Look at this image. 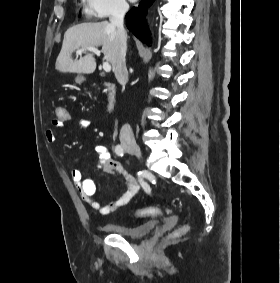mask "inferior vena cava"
<instances>
[{"mask_svg": "<svg viewBox=\"0 0 280 283\" xmlns=\"http://www.w3.org/2000/svg\"><path fill=\"white\" fill-rule=\"evenodd\" d=\"M129 10V5L122 1L116 4L110 17V25L115 27L119 35L120 48L115 68V76L120 84L128 80V71L126 67L127 35L123 26L124 16ZM120 142L123 145H136L133 131L129 124L122 126L120 130Z\"/></svg>", "mask_w": 280, "mask_h": 283, "instance_id": "602c4592", "label": "inferior vena cava"}]
</instances>
